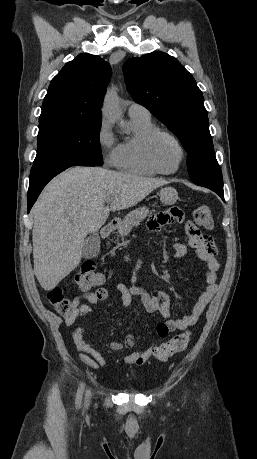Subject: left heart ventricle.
<instances>
[{"label": "left heart ventricle", "instance_id": "obj_1", "mask_svg": "<svg viewBox=\"0 0 257 459\" xmlns=\"http://www.w3.org/2000/svg\"><path fill=\"white\" fill-rule=\"evenodd\" d=\"M153 155L157 164L166 171L174 170L181 157L177 145L166 136H160L155 141Z\"/></svg>", "mask_w": 257, "mask_h": 459}]
</instances>
